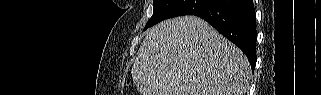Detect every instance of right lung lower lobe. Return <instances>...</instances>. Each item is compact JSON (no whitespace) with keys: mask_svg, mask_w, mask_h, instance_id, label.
I'll use <instances>...</instances> for the list:
<instances>
[{"mask_svg":"<svg viewBox=\"0 0 321 95\" xmlns=\"http://www.w3.org/2000/svg\"><path fill=\"white\" fill-rule=\"evenodd\" d=\"M247 56L252 70L256 64V13L253 0H209L194 11Z\"/></svg>","mask_w":321,"mask_h":95,"instance_id":"1","label":"right lung lower lobe"}]
</instances>
